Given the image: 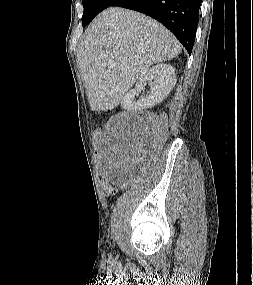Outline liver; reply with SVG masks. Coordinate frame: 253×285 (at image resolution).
<instances>
[{
    "instance_id": "obj_1",
    "label": "liver",
    "mask_w": 253,
    "mask_h": 285,
    "mask_svg": "<svg viewBox=\"0 0 253 285\" xmlns=\"http://www.w3.org/2000/svg\"><path fill=\"white\" fill-rule=\"evenodd\" d=\"M180 50L172 33L144 14L119 7L101 12L77 53L91 110L118 106L145 70Z\"/></svg>"
}]
</instances>
